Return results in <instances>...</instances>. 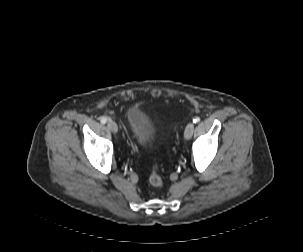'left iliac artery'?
Here are the masks:
<instances>
[{
	"label": "left iliac artery",
	"instance_id": "44dca946",
	"mask_svg": "<svg viewBox=\"0 0 303 252\" xmlns=\"http://www.w3.org/2000/svg\"><path fill=\"white\" fill-rule=\"evenodd\" d=\"M200 121V118L199 117H195L194 119H193V122L194 123H198Z\"/></svg>",
	"mask_w": 303,
	"mask_h": 252
}]
</instances>
